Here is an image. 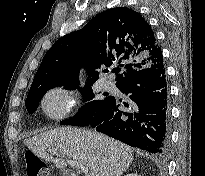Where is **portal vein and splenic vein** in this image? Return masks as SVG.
<instances>
[{
    "label": "portal vein and splenic vein",
    "mask_w": 205,
    "mask_h": 176,
    "mask_svg": "<svg viewBox=\"0 0 205 176\" xmlns=\"http://www.w3.org/2000/svg\"><path fill=\"white\" fill-rule=\"evenodd\" d=\"M53 154H57V152L50 150ZM67 163L72 167L77 168L80 170L85 176H90L89 170L87 167L83 166L82 164L78 163L77 161L67 160Z\"/></svg>",
    "instance_id": "18ae733b"
}]
</instances>
